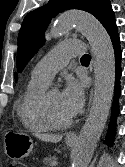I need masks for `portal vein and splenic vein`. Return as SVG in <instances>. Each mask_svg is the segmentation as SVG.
Listing matches in <instances>:
<instances>
[{"label":"portal vein and splenic vein","instance_id":"1","mask_svg":"<svg viewBox=\"0 0 125 167\" xmlns=\"http://www.w3.org/2000/svg\"><path fill=\"white\" fill-rule=\"evenodd\" d=\"M57 165H58V162L56 160L53 161L52 164H51L52 167H56Z\"/></svg>","mask_w":125,"mask_h":167}]
</instances>
